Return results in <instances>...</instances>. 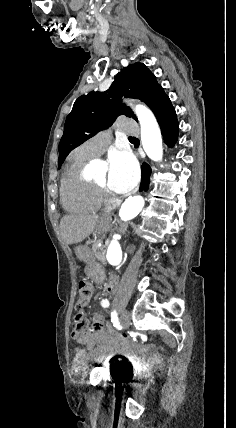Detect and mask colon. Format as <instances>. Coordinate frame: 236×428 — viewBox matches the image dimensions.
<instances>
[{"instance_id": "5ec220e1", "label": "colon", "mask_w": 236, "mask_h": 428, "mask_svg": "<svg viewBox=\"0 0 236 428\" xmlns=\"http://www.w3.org/2000/svg\"><path fill=\"white\" fill-rule=\"evenodd\" d=\"M91 294H92L91 283L89 281H86V280L80 281L79 285H78V299H77V304H76L77 315L75 316V319H74V328H73V330L75 332H80L83 329L84 320L82 317V311H83L87 301L91 297ZM92 325L96 326V327L102 326L103 325L102 316L98 315V314L95 315Z\"/></svg>"}]
</instances>
